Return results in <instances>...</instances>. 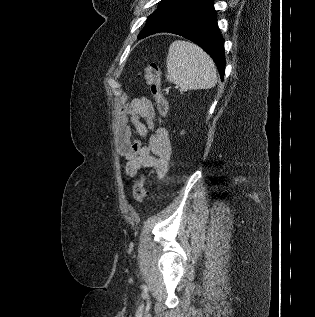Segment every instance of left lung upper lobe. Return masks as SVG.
<instances>
[{
	"label": "left lung upper lobe",
	"instance_id": "1",
	"mask_svg": "<svg viewBox=\"0 0 315 317\" xmlns=\"http://www.w3.org/2000/svg\"><path fill=\"white\" fill-rule=\"evenodd\" d=\"M199 0H162L157 10L147 18L144 29L139 34L141 38L166 31L183 14Z\"/></svg>",
	"mask_w": 315,
	"mask_h": 317
}]
</instances>
